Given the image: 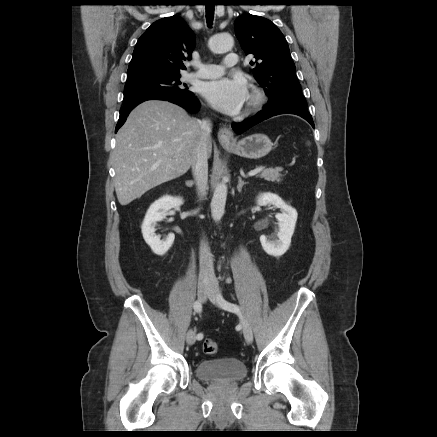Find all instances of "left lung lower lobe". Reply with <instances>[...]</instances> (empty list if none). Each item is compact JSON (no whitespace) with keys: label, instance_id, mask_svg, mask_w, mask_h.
I'll use <instances>...</instances> for the list:
<instances>
[{"label":"left lung lower lobe","instance_id":"1","mask_svg":"<svg viewBox=\"0 0 437 437\" xmlns=\"http://www.w3.org/2000/svg\"><path fill=\"white\" fill-rule=\"evenodd\" d=\"M280 114L298 115L304 118L305 120H307L314 128L313 119L310 113L307 111V108H300V107L289 106V105L264 108L263 111L259 112L256 116L248 119L247 121L241 123H234L232 125V128L237 134H241L244 131L251 128L252 126L256 125L257 123Z\"/></svg>","mask_w":437,"mask_h":437}]
</instances>
